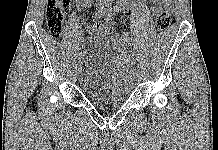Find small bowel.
Returning <instances> with one entry per match:
<instances>
[{"mask_svg": "<svg viewBox=\"0 0 218 150\" xmlns=\"http://www.w3.org/2000/svg\"><path fill=\"white\" fill-rule=\"evenodd\" d=\"M90 1L91 0H75V2L78 4V5H81V6H89L90 5ZM116 7H115V11L118 12V13H124L125 10H126V7H125V3H124V0H116ZM153 7H152V11L153 12H156L159 8H161L162 6H166V7H170L171 4H172V0H153ZM95 18V17H94ZM97 19V18H95ZM99 19V18H98ZM87 30L88 31H94V30H97L96 29V23L94 25H90L87 27Z\"/></svg>", "mask_w": 218, "mask_h": 150, "instance_id": "small-bowel-1", "label": "small bowel"}]
</instances>
